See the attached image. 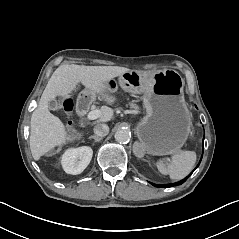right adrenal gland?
Returning a JSON list of instances; mask_svg holds the SVG:
<instances>
[{"mask_svg": "<svg viewBox=\"0 0 239 239\" xmlns=\"http://www.w3.org/2000/svg\"><path fill=\"white\" fill-rule=\"evenodd\" d=\"M91 138L94 139L95 142H99V141H101L103 139V137H98L96 135H92V136L89 137V139H91Z\"/></svg>", "mask_w": 239, "mask_h": 239, "instance_id": "right-adrenal-gland-1", "label": "right adrenal gland"}]
</instances>
